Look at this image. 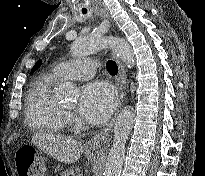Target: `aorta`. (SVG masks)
I'll use <instances>...</instances> for the list:
<instances>
[{
  "mask_svg": "<svg viewBox=\"0 0 205 176\" xmlns=\"http://www.w3.org/2000/svg\"><path fill=\"white\" fill-rule=\"evenodd\" d=\"M110 47L121 60L131 68L135 64V58L127 41L114 36L90 35L76 39L71 46V54L83 57L93 52H98ZM76 89L70 83H63L59 87L62 98L73 99ZM135 121V112L131 106L125 107L118 115L114 126L113 145L110 149L104 176H120L125 158V145Z\"/></svg>",
  "mask_w": 205,
  "mask_h": 176,
  "instance_id": "obj_1",
  "label": "aorta"
}]
</instances>
